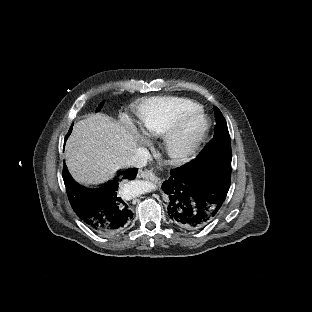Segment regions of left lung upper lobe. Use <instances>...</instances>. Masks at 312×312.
I'll list each match as a JSON object with an SVG mask.
<instances>
[{
	"instance_id": "left-lung-upper-lobe-1",
	"label": "left lung upper lobe",
	"mask_w": 312,
	"mask_h": 312,
	"mask_svg": "<svg viewBox=\"0 0 312 312\" xmlns=\"http://www.w3.org/2000/svg\"><path fill=\"white\" fill-rule=\"evenodd\" d=\"M216 116V127L213 139L206 145L205 152L196 159L213 158L219 154H231L230 135L228 132L226 121L217 107H214Z\"/></svg>"
}]
</instances>
